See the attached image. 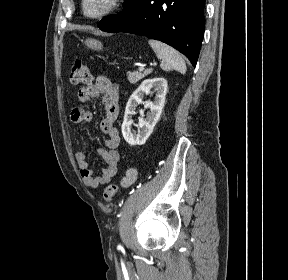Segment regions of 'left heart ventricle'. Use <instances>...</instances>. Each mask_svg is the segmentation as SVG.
<instances>
[{
  "mask_svg": "<svg viewBox=\"0 0 288 280\" xmlns=\"http://www.w3.org/2000/svg\"><path fill=\"white\" fill-rule=\"evenodd\" d=\"M103 4V0H92L89 4V10L96 11L98 10Z\"/></svg>",
  "mask_w": 288,
  "mask_h": 280,
  "instance_id": "obj_1",
  "label": "left heart ventricle"
}]
</instances>
